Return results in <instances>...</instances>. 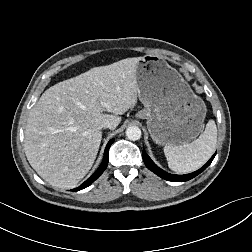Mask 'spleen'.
<instances>
[{"label": "spleen", "mask_w": 252, "mask_h": 252, "mask_svg": "<svg viewBox=\"0 0 252 252\" xmlns=\"http://www.w3.org/2000/svg\"><path fill=\"white\" fill-rule=\"evenodd\" d=\"M216 143L217 127L215 121L210 120L204 132L192 143L164 147L169 168L178 173H188L198 169L213 155Z\"/></svg>", "instance_id": "spleen-1"}]
</instances>
